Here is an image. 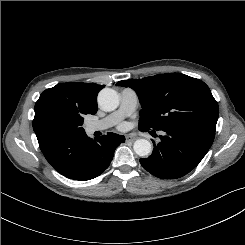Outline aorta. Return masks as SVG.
Returning <instances> with one entry per match:
<instances>
[{
	"label": "aorta",
	"instance_id": "obj_1",
	"mask_svg": "<svg viewBox=\"0 0 245 245\" xmlns=\"http://www.w3.org/2000/svg\"><path fill=\"white\" fill-rule=\"evenodd\" d=\"M98 104L105 111H113L119 105V97L115 90L104 88L98 94ZM134 152L140 157L147 156L151 150V143L146 139H138L133 145Z\"/></svg>",
	"mask_w": 245,
	"mask_h": 245
}]
</instances>
